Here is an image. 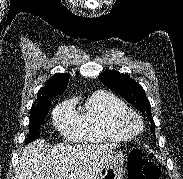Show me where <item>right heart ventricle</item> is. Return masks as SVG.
<instances>
[{
  "mask_svg": "<svg viewBox=\"0 0 183 179\" xmlns=\"http://www.w3.org/2000/svg\"><path fill=\"white\" fill-rule=\"evenodd\" d=\"M127 104L106 90L93 92L84 103L80 117L81 138L88 142H119L133 136L117 126L118 116L128 110Z\"/></svg>",
  "mask_w": 183,
  "mask_h": 179,
  "instance_id": "1",
  "label": "right heart ventricle"
}]
</instances>
